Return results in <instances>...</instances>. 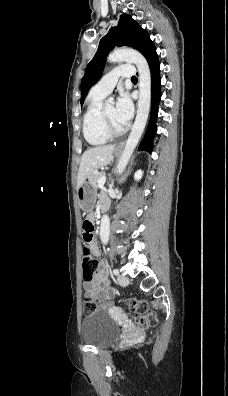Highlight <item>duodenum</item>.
Returning <instances> with one entry per match:
<instances>
[{"label": "duodenum", "instance_id": "duodenum-1", "mask_svg": "<svg viewBox=\"0 0 228 396\" xmlns=\"http://www.w3.org/2000/svg\"><path fill=\"white\" fill-rule=\"evenodd\" d=\"M100 206H101V209H106L108 205L106 203H103Z\"/></svg>", "mask_w": 228, "mask_h": 396}]
</instances>
